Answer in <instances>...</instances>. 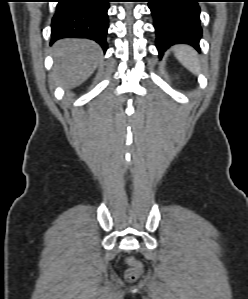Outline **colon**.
<instances>
[{
  "label": "colon",
  "mask_w": 248,
  "mask_h": 299,
  "mask_svg": "<svg viewBox=\"0 0 248 299\" xmlns=\"http://www.w3.org/2000/svg\"><path fill=\"white\" fill-rule=\"evenodd\" d=\"M127 263L133 267H135L136 269L139 268V264L132 258H128L127 259ZM136 278V272L135 271H132L128 274V279L129 280H135Z\"/></svg>",
  "instance_id": "obj_1"
}]
</instances>
